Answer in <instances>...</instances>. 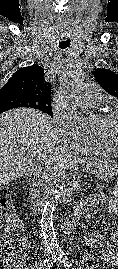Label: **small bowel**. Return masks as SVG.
Instances as JSON below:
<instances>
[{
	"instance_id": "obj_1",
	"label": "small bowel",
	"mask_w": 118,
	"mask_h": 269,
	"mask_svg": "<svg viewBox=\"0 0 118 269\" xmlns=\"http://www.w3.org/2000/svg\"><path fill=\"white\" fill-rule=\"evenodd\" d=\"M117 195L107 200V211L110 216L118 215V202L116 200ZM112 242L118 246V232L112 236ZM85 243L90 248L101 249L103 252V258L106 263L118 266V250H114L105 245L101 235L97 233H90L85 237ZM17 269H29L25 264H21Z\"/></svg>"
}]
</instances>
